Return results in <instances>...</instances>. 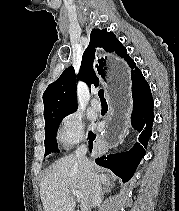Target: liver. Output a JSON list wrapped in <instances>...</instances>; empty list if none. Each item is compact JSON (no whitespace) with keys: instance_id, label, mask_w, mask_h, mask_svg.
Here are the masks:
<instances>
[{"instance_id":"obj_1","label":"liver","mask_w":179,"mask_h":211,"mask_svg":"<svg viewBox=\"0 0 179 211\" xmlns=\"http://www.w3.org/2000/svg\"><path fill=\"white\" fill-rule=\"evenodd\" d=\"M93 177L80 166L75 154L57 160L49 168L40 185V197L44 211H75L76 201L71 190L82 193V211H90L91 192L96 182L106 185L108 176L95 171L92 164Z\"/></svg>"}]
</instances>
